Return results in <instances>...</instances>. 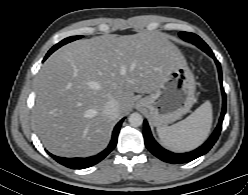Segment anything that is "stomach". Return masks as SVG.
Instances as JSON below:
<instances>
[{"label":"stomach","mask_w":248,"mask_h":195,"mask_svg":"<svg viewBox=\"0 0 248 195\" xmlns=\"http://www.w3.org/2000/svg\"><path fill=\"white\" fill-rule=\"evenodd\" d=\"M195 79L186 61L175 60L166 70L158 88L138 101L147 109L154 126L175 122L188 113L195 103Z\"/></svg>","instance_id":"1"}]
</instances>
